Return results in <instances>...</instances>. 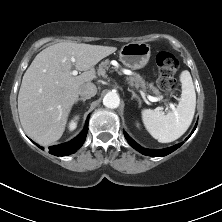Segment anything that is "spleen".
Listing matches in <instances>:
<instances>
[{
	"instance_id": "spleen-1",
	"label": "spleen",
	"mask_w": 222,
	"mask_h": 222,
	"mask_svg": "<svg viewBox=\"0 0 222 222\" xmlns=\"http://www.w3.org/2000/svg\"><path fill=\"white\" fill-rule=\"evenodd\" d=\"M181 97L179 104L173 110L164 114L157 109H143L142 121L151 136L161 143H169L180 138L192 123L196 94L189 71L180 75Z\"/></svg>"
}]
</instances>
